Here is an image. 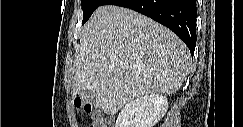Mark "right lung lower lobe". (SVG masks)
Here are the masks:
<instances>
[{
    "instance_id": "1",
    "label": "right lung lower lobe",
    "mask_w": 243,
    "mask_h": 127,
    "mask_svg": "<svg viewBox=\"0 0 243 127\" xmlns=\"http://www.w3.org/2000/svg\"><path fill=\"white\" fill-rule=\"evenodd\" d=\"M103 5L126 7L152 18L171 29L194 54L196 0H105Z\"/></svg>"
}]
</instances>
